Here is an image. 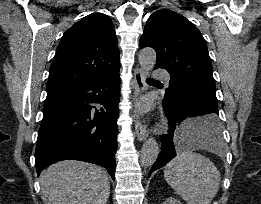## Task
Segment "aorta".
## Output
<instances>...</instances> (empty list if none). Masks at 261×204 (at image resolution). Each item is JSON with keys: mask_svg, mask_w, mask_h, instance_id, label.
Wrapping results in <instances>:
<instances>
[{"mask_svg": "<svg viewBox=\"0 0 261 204\" xmlns=\"http://www.w3.org/2000/svg\"><path fill=\"white\" fill-rule=\"evenodd\" d=\"M138 60L141 68L149 73L156 63V52L152 48H144L140 51ZM159 154V146L154 138H149L143 144L140 155V162L144 167H150L154 164Z\"/></svg>", "mask_w": 261, "mask_h": 204, "instance_id": "obj_1", "label": "aorta"}]
</instances>
